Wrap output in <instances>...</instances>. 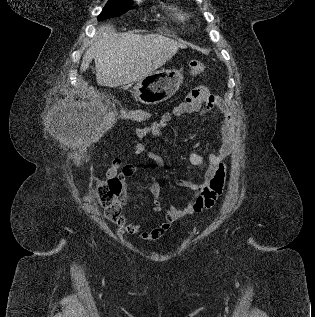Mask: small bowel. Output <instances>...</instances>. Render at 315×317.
Masks as SVG:
<instances>
[{
	"label": "small bowel",
	"instance_id": "obj_1",
	"mask_svg": "<svg viewBox=\"0 0 315 317\" xmlns=\"http://www.w3.org/2000/svg\"><path fill=\"white\" fill-rule=\"evenodd\" d=\"M214 109L223 115L221 125V141L216 153H211L207 157L198 152H193L189 156L190 163L195 167L207 165L203 180L199 183L176 177V184L194 193L193 199L182 207L171 206L164 210L161 203V188L155 177H151L149 191L153 197V210L155 212L164 211L163 221L156 227L146 230L138 223L128 222L122 217L119 226L122 231L137 236L139 239L147 241H157L163 238L170 229L173 222L181 220L189 215L200 213L211 208L215 200L221 194L224 178V160L230 155L233 141V120L229 108L217 96L212 94L205 86H200L178 104L172 112H165L159 120L149 125L139 127L135 133L138 138L156 137L168 125L173 117L183 114L201 113L205 114ZM199 146V144H196ZM131 154L135 157H147L154 161L159 167L164 166L163 158L156 152L147 149L142 143H136L131 149ZM137 171L134 165H124L119 157H115L105 172L107 180L116 179L121 184V197L129 200L127 193V180Z\"/></svg>",
	"mask_w": 315,
	"mask_h": 317
}]
</instances>
